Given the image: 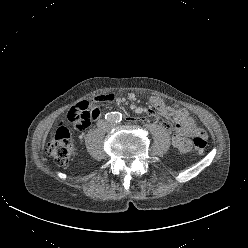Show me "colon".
I'll list each match as a JSON object with an SVG mask.
<instances>
[{"label": "colon", "mask_w": 248, "mask_h": 248, "mask_svg": "<svg viewBox=\"0 0 248 248\" xmlns=\"http://www.w3.org/2000/svg\"><path fill=\"white\" fill-rule=\"evenodd\" d=\"M112 95L99 96V100L107 102ZM98 113L95 102L82 101L72 106L67 113V121L77 130H86ZM207 145V136L204 130L198 129L194 133L193 148L198 154L204 152ZM47 152L58 165H67L74 154V142L71 131L60 123L47 144Z\"/></svg>", "instance_id": "colon-1"}]
</instances>
